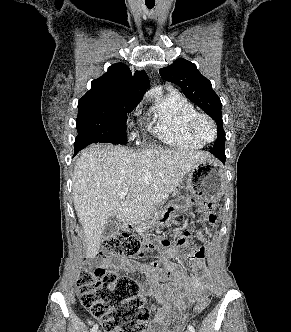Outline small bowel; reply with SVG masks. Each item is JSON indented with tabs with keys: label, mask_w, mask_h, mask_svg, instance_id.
<instances>
[{
	"label": "small bowel",
	"mask_w": 291,
	"mask_h": 332,
	"mask_svg": "<svg viewBox=\"0 0 291 332\" xmlns=\"http://www.w3.org/2000/svg\"><path fill=\"white\" fill-rule=\"evenodd\" d=\"M176 238L178 244L185 241L180 232L176 233ZM204 254L205 249L200 248L183 255L191 262L193 276H187L173 261L181 255L178 245L167 247L164 257L157 258L147 266L128 258L116 262L102 260V264L127 273L140 272L144 275L147 287L143 289L142 297L157 302L149 332H167L174 319L175 310L184 309L188 303L201 299L209 291V285L202 277L206 269Z\"/></svg>",
	"instance_id": "obj_1"
}]
</instances>
